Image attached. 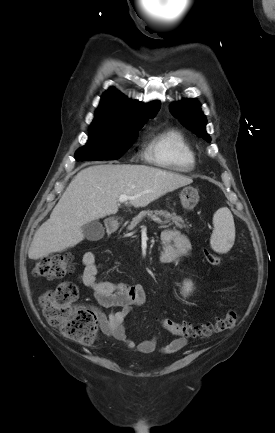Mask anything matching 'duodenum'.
<instances>
[{
  "label": "duodenum",
  "mask_w": 275,
  "mask_h": 433,
  "mask_svg": "<svg viewBox=\"0 0 275 433\" xmlns=\"http://www.w3.org/2000/svg\"><path fill=\"white\" fill-rule=\"evenodd\" d=\"M105 227H106L108 234H113L118 229V223L115 220H107L105 222Z\"/></svg>",
  "instance_id": "obj_1"
}]
</instances>
